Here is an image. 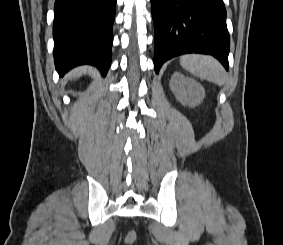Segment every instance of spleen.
Returning a JSON list of instances; mask_svg holds the SVG:
<instances>
[{"mask_svg": "<svg viewBox=\"0 0 283 245\" xmlns=\"http://www.w3.org/2000/svg\"><path fill=\"white\" fill-rule=\"evenodd\" d=\"M181 66L201 79L219 86L225 83V72L222 65L208 55L187 54L180 58Z\"/></svg>", "mask_w": 283, "mask_h": 245, "instance_id": "1", "label": "spleen"}]
</instances>
